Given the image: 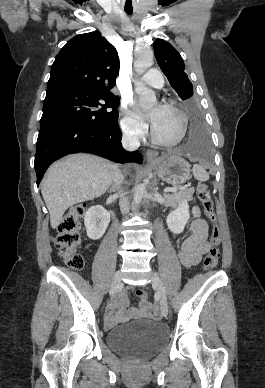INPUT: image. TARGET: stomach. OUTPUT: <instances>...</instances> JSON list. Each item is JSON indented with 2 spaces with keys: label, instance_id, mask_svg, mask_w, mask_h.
<instances>
[{
  "label": "stomach",
  "instance_id": "obj_1",
  "mask_svg": "<svg viewBox=\"0 0 265 388\" xmlns=\"http://www.w3.org/2000/svg\"><path fill=\"white\" fill-rule=\"evenodd\" d=\"M149 163L156 171L158 177L168 184L181 185L190 175L189 164L174 153L149 159Z\"/></svg>",
  "mask_w": 265,
  "mask_h": 388
}]
</instances>
